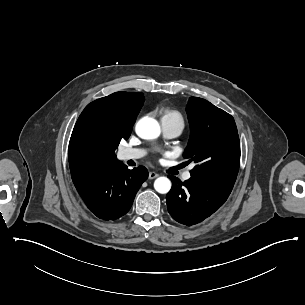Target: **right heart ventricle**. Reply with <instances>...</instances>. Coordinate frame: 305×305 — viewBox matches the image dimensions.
Instances as JSON below:
<instances>
[{
  "mask_svg": "<svg viewBox=\"0 0 305 305\" xmlns=\"http://www.w3.org/2000/svg\"><path fill=\"white\" fill-rule=\"evenodd\" d=\"M162 118L178 119V120L183 121L181 114L174 110H166L164 112Z\"/></svg>",
  "mask_w": 305,
  "mask_h": 305,
  "instance_id": "obj_1",
  "label": "right heart ventricle"
}]
</instances>
